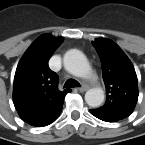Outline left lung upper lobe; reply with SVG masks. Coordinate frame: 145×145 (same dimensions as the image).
Here are the masks:
<instances>
[{"mask_svg":"<svg viewBox=\"0 0 145 145\" xmlns=\"http://www.w3.org/2000/svg\"><path fill=\"white\" fill-rule=\"evenodd\" d=\"M93 45L101 59L107 91L106 103L98 112L122 120L134 110L138 84L134 67L117 44L109 39H96Z\"/></svg>","mask_w":145,"mask_h":145,"instance_id":"left-lung-upper-lobe-1","label":"left lung upper lobe"}]
</instances>
